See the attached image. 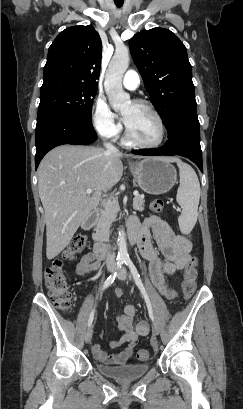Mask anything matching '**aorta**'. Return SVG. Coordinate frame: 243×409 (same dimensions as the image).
<instances>
[{"label": "aorta", "mask_w": 243, "mask_h": 409, "mask_svg": "<svg viewBox=\"0 0 243 409\" xmlns=\"http://www.w3.org/2000/svg\"><path fill=\"white\" fill-rule=\"evenodd\" d=\"M129 53L127 50L116 51L108 66L104 87L109 103L114 110L121 109L130 104V96L123 90L122 78L129 66ZM118 259L128 257L125 233L119 231L118 235Z\"/></svg>", "instance_id": "762f6f07"}]
</instances>
